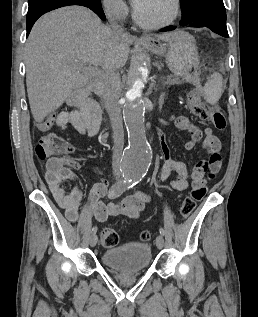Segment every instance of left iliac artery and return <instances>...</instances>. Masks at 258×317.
Wrapping results in <instances>:
<instances>
[{"label":"left iliac artery","mask_w":258,"mask_h":317,"mask_svg":"<svg viewBox=\"0 0 258 317\" xmlns=\"http://www.w3.org/2000/svg\"><path fill=\"white\" fill-rule=\"evenodd\" d=\"M142 180V177H133L131 178V181L133 183V185H137L140 181ZM159 232L162 236L165 235V231L162 227L159 228Z\"/></svg>","instance_id":"1"}]
</instances>
